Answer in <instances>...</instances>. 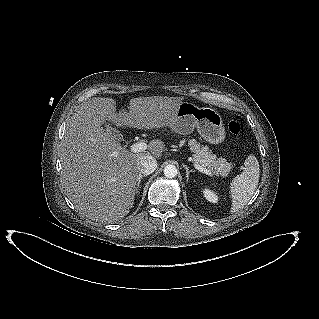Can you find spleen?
<instances>
[{
	"instance_id": "3e777b00",
	"label": "spleen",
	"mask_w": 319,
	"mask_h": 319,
	"mask_svg": "<svg viewBox=\"0 0 319 319\" xmlns=\"http://www.w3.org/2000/svg\"><path fill=\"white\" fill-rule=\"evenodd\" d=\"M244 171L231 182V213L243 208L253 196L259 182V163L255 156H248L244 162Z\"/></svg>"
}]
</instances>
